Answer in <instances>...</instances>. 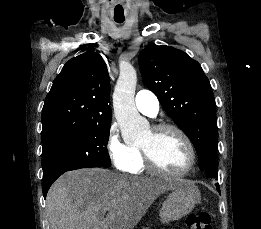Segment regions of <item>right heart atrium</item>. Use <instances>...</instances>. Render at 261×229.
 <instances>
[{
	"label": "right heart atrium",
	"mask_w": 261,
	"mask_h": 229,
	"mask_svg": "<svg viewBox=\"0 0 261 229\" xmlns=\"http://www.w3.org/2000/svg\"><path fill=\"white\" fill-rule=\"evenodd\" d=\"M106 151L112 165L121 172L133 170L137 156L133 145L123 141L115 125L109 127L106 138Z\"/></svg>",
	"instance_id": "obj_1"
}]
</instances>
